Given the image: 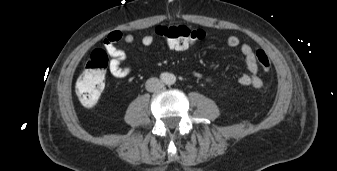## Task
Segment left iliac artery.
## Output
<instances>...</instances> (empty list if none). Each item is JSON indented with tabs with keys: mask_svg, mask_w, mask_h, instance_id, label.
<instances>
[{
	"mask_svg": "<svg viewBox=\"0 0 337 171\" xmlns=\"http://www.w3.org/2000/svg\"><path fill=\"white\" fill-rule=\"evenodd\" d=\"M169 82H170L171 84H173V83L175 82V77H174V76H171L170 79H169Z\"/></svg>",
	"mask_w": 337,
	"mask_h": 171,
	"instance_id": "left-iliac-artery-1",
	"label": "left iliac artery"
}]
</instances>
